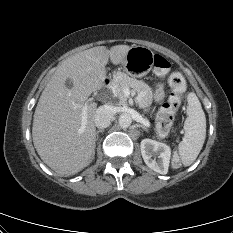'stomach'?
<instances>
[{
	"instance_id": "stomach-1",
	"label": "stomach",
	"mask_w": 233,
	"mask_h": 233,
	"mask_svg": "<svg viewBox=\"0 0 233 233\" xmlns=\"http://www.w3.org/2000/svg\"><path fill=\"white\" fill-rule=\"evenodd\" d=\"M154 55L153 51L147 47L133 46L127 52L125 60L121 64V69L133 78H142L151 71L154 64Z\"/></svg>"
}]
</instances>
